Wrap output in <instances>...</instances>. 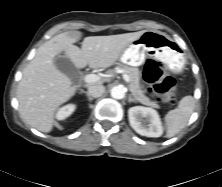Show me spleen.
Segmentation results:
<instances>
[{
  "label": "spleen",
  "mask_w": 222,
  "mask_h": 187,
  "mask_svg": "<svg viewBox=\"0 0 222 187\" xmlns=\"http://www.w3.org/2000/svg\"><path fill=\"white\" fill-rule=\"evenodd\" d=\"M194 106V98L192 96H185L180 100L176 109L166 114L164 120L167 138L175 136L186 126L194 110Z\"/></svg>",
  "instance_id": "spleen-1"
}]
</instances>
